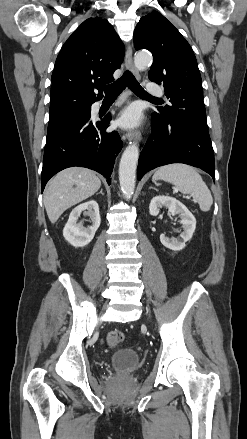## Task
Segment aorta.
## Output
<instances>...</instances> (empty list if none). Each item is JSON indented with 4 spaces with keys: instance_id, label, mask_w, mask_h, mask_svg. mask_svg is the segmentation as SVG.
Segmentation results:
<instances>
[{
    "instance_id": "1",
    "label": "aorta",
    "mask_w": 247,
    "mask_h": 439,
    "mask_svg": "<svg viewBox=\"0 0 247 439\" xmlns=\"http://www.w3.org/2000/svg\"><path fill=\"white\" fill-rule=\"evenodd\" d=\"M152 62V56L139 52L134 57L137 70L143 71ZM139 158V147L136 142L131 143L124 150L119 163V182L123 196L131 199L135 189L136 169Z\"/></svg>"
}]
</instances>
